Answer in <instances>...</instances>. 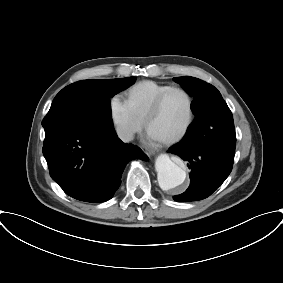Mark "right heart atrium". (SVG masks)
<instances>
[{"label":"right heart atrium","instance_id":"obj_1","mask_svg":"<svg viewBox=\"0 0 283 283\" xmlns=\"http://www.w3.org/2000/svg\"><path fill=\"white\" fill-rule=\"evenodd\" d=\"M109 116L117 136L124 142H130L142 129V122L119 96L110 99Z\"/></svg>","mask_w":283,"mask_h":283}]
</instances>
